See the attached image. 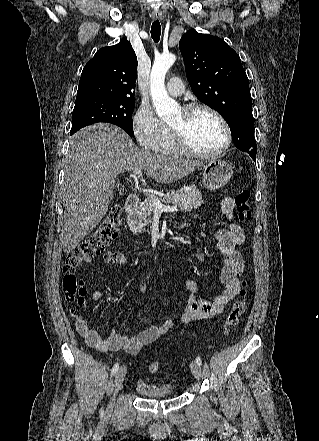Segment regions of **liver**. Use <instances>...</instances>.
I'll return each mask as SVG.
<instances>
[{"label": "liver", "mask_w": 319, "mask_h": 441, "mask_svg": "<svg viewBox=\"0 0 319 441\" xmlns=\"http://www.w3.org/2000/svg\"><path fill=\"white\" fill-rule=\"evenodd\" d=\"M200 166L198 161L141 150L112 124L96 123L76 132L64 161V252L74 250L105 216L120 173L140 168L157 182L167 184Z\"/></svg>", "instance_id": "6515ba94"}]
</instances>
